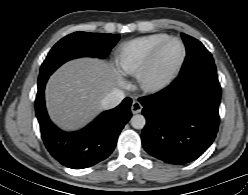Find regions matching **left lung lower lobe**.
I'll use <instances>...</instances> for the list:
<instances>
[{
  "mask_svg": "<svg viewBox=\"0 0 248 195\" xmlns=\"http://www.w3.org/2000/svg\"><path fill=\"white\" fill-rule=\"evenodd\" d=\"M220 100L217 75L187 80L178 76L161 92L140 98L146 117L144 149L170 164L197 159L216 137Z\"/></svg>",
  "mask_w": 248,
  "mask_h": 195,
  "instance_id": "0a47b994",
  "label": "left lung lower lobe"
}]
</instances>
